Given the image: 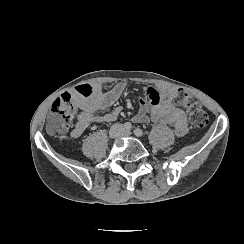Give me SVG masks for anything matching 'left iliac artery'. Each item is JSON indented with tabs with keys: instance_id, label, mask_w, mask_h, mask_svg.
<instances>
[{
	"instance_id": "1",
	"label": "left iliac artery",
	"mask_w": 244,
	"mask_h": 244,
	"mask_svg": "<svg viewBox=\"0 0 244 244\" xmlns=\"http://www.w3.org/2000/svg\"><path fill=\"white\" fill-rule=\"evenodd\" d=\"M134 134H135L136 136H143V135H144V132H143L142 129H140V128H136V129L134 130Z\"/></svg>"
}]
</instances>
